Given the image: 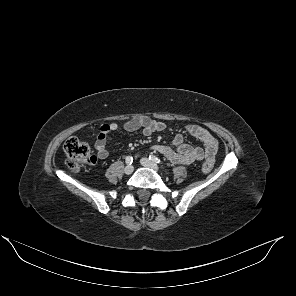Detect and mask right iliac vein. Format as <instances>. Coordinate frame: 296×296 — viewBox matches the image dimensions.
Segmentation results:
<instances>
[{
	"mask_svg": "<svg viewBox=\"0 0 296 296\" xmlns=\"http://www.w3.org/2000/svg\"><path fill=\"white\" fill-rule=\"evenodd\" d=\"M133 170H134V167L132 165H128L125 167L124 172L125 174L130 175L133 172Z\"/></svg>",
	"mask_w": 296,
	"mask_h": 296,
	"instance_id": "63e3f726",
	"label": "right iliac vein"
}]
</instances>
